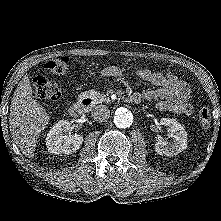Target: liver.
Instances as JSON below:
<instances>
[{
	"instance_id": "1",
	"label": "liver",
	"mask_w": 221,
	"mask_h": 221,
	"mask_svg": "<svg viewBox=\"0 0 221 221\" xmlns=\"http://www.w3.org/2000/svg\"><path fill=\"white\" fill-rule=\"evenodd\" d=\"M49 120L45 109L34 99L29 77L25 75L13 94L9 127L15 144L26 157H34L39 134Z\"/></svg>"
}]
</instances>
